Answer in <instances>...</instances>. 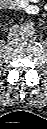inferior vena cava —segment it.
<instances>
[{
  "mask_svg": "<svg viewBox=\"0 0 47 129\" xmlns=\"http://www.w3.org/2000/svg\"><path fill=\"white\" fill-rule=\"evenodd\" d=\"M8 36H9L10 39L17 38L19 36L18 28L17 27H12L10 29V33H9Z\"/></svg>",
  "mask_w": 47,
  "mask_h": 129,
  "instance_id": "602c4592",
  "label": "inferior vena cava"
}]
</instances>
